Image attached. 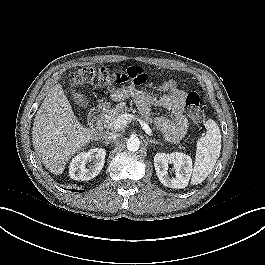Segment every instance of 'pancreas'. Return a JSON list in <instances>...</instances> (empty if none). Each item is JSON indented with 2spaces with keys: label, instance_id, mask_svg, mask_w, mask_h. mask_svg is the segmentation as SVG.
<instances>
[{
  "label": "pancreas",
  "instance_id": "obj_1",
  "mask_svg": "<svg viewBox=\"0 0 265 265\" xmlns=\"http://www.w3.org/2000/svg\"><path fill=\"white\" fill-rule=\"evenodd\" d=\"M129 110L130 109L127 107V105L125 103H120L115 108L110 109L105 115V118L103 121L104 127L107 130H112V131L113 130L117 131V130L123 129L124 126L120 129H115L114 123L120 115L126 113ZM146 120L152 122V119L149 117H147ZM179 148L185 150V147L183 145H179Z\"/></svg>",
  "mask_w": 265,
  "mask_h": 265
}]
</instances>
